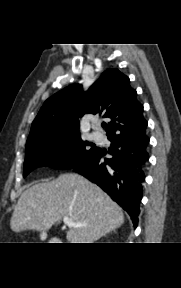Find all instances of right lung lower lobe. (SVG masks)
<instances>
[{"label": "right lung lower lobe", "mask_w": 181, "mask_h": 288, "mask_svg": "<svg viewBox=\"0 0 181 288\" xmlns=\"http://www.w3.org/2000/svg\"><path fill=\"white\" fill-rule=\"evenodd\" d=\"M108 139L111 141L108 153L112 158L101 162L104 152L97 148L73 169L110 195L130 215L134 227H137L142 199L141 183L145 179L144 167L149 159V138L144 129L137 133H118L108 136Z\"/></svg>", "instance_id": "obj_1"}]
</instances>
